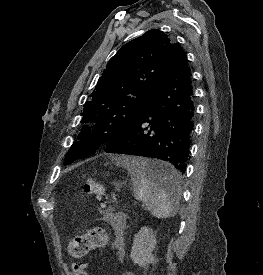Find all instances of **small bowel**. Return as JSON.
<instances>
[{
	"instance_id": "c3829d8e",
	"label": "small bowel",
	"mask_w": 263,
	"mask_h": 275,
	"mask_svg": "<svg viewBox=\"0 0 263 275\" xmlns=\"http://www.w3.org/2000/svg\"><path fill=\"white\" fill-rule=\"evenodd\" d=\"M100 220L112 228L114 239L111 242V248L117 252L118 258L123 260L125 257L124 234L128 228L127 217L122 214H117L111 209H105L100 212Z\"/></svg>"
}]
</instances>
